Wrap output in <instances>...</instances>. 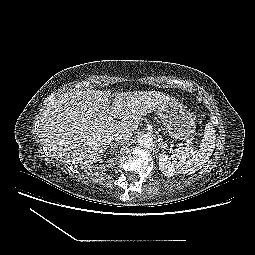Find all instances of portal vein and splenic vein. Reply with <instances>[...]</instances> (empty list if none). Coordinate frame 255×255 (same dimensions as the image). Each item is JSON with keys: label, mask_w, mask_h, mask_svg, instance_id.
Listing matches in <instances>:
<instances>
[{"label": "portal vein and splenic vein", "mask_w": 255, "mask_h": 255, "mask_svg": "<svg viewBox=\"0 0 255 255\" xmlns=\"http://www.w3.org/2000/svg\"><path fill=\"white\" fill-rule=\"evenodd\" d=\"M108 120H110V121L113 120V117L108 116ZM186 142H187V144H192V142L190 140H187Z\"/></svg>", "instance_id": "obj_1"}]
</instances>
